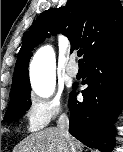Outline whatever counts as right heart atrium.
I'll use <instances>...</instances> for the list:
<instances>
[{"instance_id":"right-heart-atrium-1","label":"right heart atrium","mask_w":123,"mask_h":152,"mask_svg":"<svg viewBox=\"0 0 123 152\" xmlns=\"http://www.w3.org/2000/svg\"><path fill=\"white\" fill-rule=\"evenodd\" d=\"M65 115L61 98L31 97L24 111L26 124L31 131L46 128L52 121Z\"/></svg>"}]
</instances>
